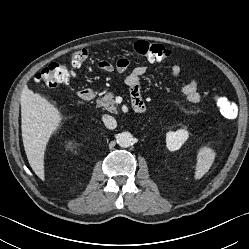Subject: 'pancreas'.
<instances>
[{
    "mask_svg": "<svg viewBox=\"0 0 249 249\" xmlns=\"http://www.w3.org/2000/svg\"><path fill=\"white\" fill-rule=\"evenodd\" d=\"M114 97L115 96L112 92H107L101 99L97 100V106L103 107V109L111 113H117Z\"/></svg>",
    "mask_w": 249,
    "mask_h": 249,
    "instance_id": "cf45deb5",
    "label": "pancreas"
}]
</instances>
